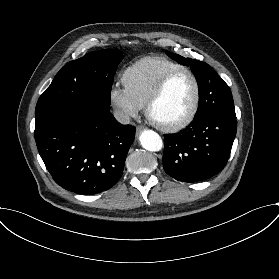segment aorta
I'll return each instance as SVG.
<instances>
[{"mask_svg": "<svg viewBox=\"0 0 279 279\" xmlns=\"http://www.w3.org/2000/svg\"><path fill=\"white\" fill-rule=\"evenodd\" d=\"M141 146L148 151H159L163 147V141L158 133L152 130H145L139 137Z\"/></svg>", "mask_w": 279, "mask_h": 279, "instance_id": "obj_1", "label": "aorta"}]
</instances>
